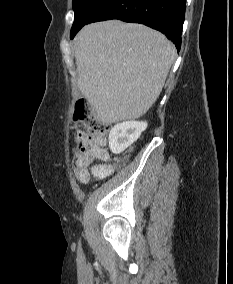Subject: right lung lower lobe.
<instances>
[{"instance_id":"1","label":"right lung lower lobe","mask_w":233,"mask_h":284,"mask_svg":"<svg viewBox=\"0 0 233 284\" xmlns=\"http://www.w3.org/2000/svg\"><path fill=\"white\" fill-rule=\"evenodd\" d=\"M185 3L186 0H109L86 24L110 19L141 23L165 34L179 51Z\"/></svg>"}]
</instances>
